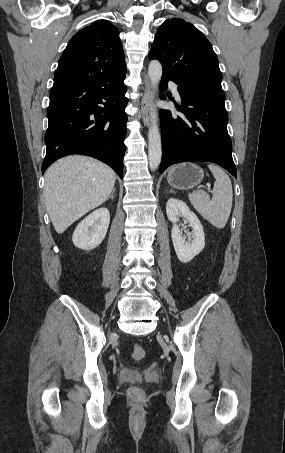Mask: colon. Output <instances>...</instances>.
I'll list each match as a JSON object with an SVG mask.
<instances>
[{
	"mask_svg": "<svg viewBox=\"0 0 285 453\" xmlns=\"http://www.w3.org/2000/svg\"><path fill=\"white\" fill-rule=\"evenodd\" d=\"M145 356V350L140 344H133L131 347V357L134 361H141ZM129 394L133 398H139L142 395V390L137 387L129 389Z\"/></svg>",
	"mask_w": 285,
	"mask_h": 453,
	"instance_id": "obj_1",
	"label": "colon"
}]
</instances>
